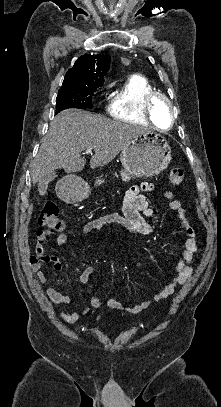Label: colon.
<instances>
[{
    "mask_svg": "<svg viewBox=\"0 0 221 407\" xmlns=\"http://www.w3.org/2000/svg\"><path fill=\"white\" fill-rule=\"evenodd\" d=\"M169 181L172 186L181 184L184 180V171L179 167H173L168 172ZM38 221L44 228L38 231L39 237L48 239L63 229L60 219L59 207L54 202H46L43 206Z\"/></svg>",
    "mask_w": 221,
    "mask_h": 407,
    "instance_id": "5ec220e1",
    "label": "colon"
}]
</instances>
